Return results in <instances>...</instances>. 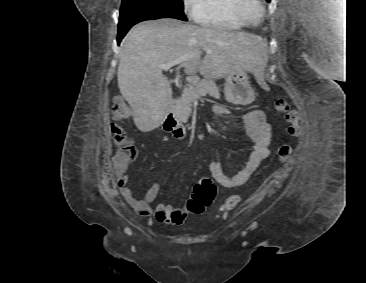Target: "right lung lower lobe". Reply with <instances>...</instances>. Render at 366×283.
<instances>
[{
  "mask_svg": "<svg viewBox=\"0 0 366 283\" xmlns=\"http://www.w3.org/2000/svg\"><path fill=\"white\" fill-rule=\"evenodd\" d=\"M155 19H158V18H155ZM145 20H154V19H131V20H125V21L119 22L118 36H117L118 44H120L122 38L126 35L128 30L133 25H135L136 23H139L141 21H145Z\"/></svg>",
  "mask_w": 366,
  "mask_h": 283,
  "instance_id": "1",
  "label": "right lung lower lobe"
}]
</instances>
